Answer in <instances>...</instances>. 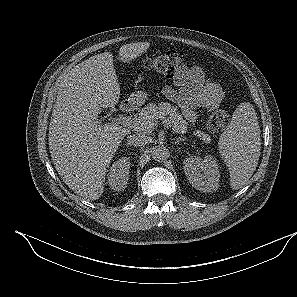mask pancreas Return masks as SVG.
I'll return each mask as SVG.
<instances>
[{"label": "pancreas", "mask_w": 297, "mask_h": 297, "mask_svg": "<svg viewBox=\"0 0 297 297\" xmlns=\"http://www.w3.org/2000/svg\"><path fill=\"white\" fill-rule=\"evenodd\" d=\"M135 119L139 121L137 129L148 134L157 126L159 119L166 122L167 126L172 127V130L178 134L186 133L188 128V123L183 119L182 115L171 105L164 103L158 105L153 103L147 104L141 109ZM193 134L204 141H207L209 138L208 134L200 130L194 131Z\"/></svg>", "instance_id": "1"}]
</instances>
